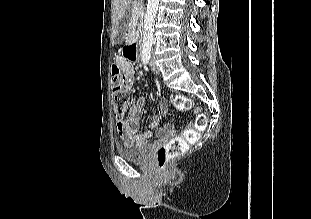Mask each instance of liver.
<instances>
[{
	"instance_id": "1",
	"label": "liver",
	"mask_w": 311,
	"mask_h": 219,
	"mask_svg": "<svg viewBox=\"0 0 311 219\" xmlns=\"http://www.w3.org/2000/svg\"><path fill=\"white\" fill-rule=\"evenodd\" d=\"M133 0H112L113 5V16H112V23H113V38L116 37V32L119 27V21L125 15L127 9H129L130 4Z\"/></svg>"
}]
</instances>
